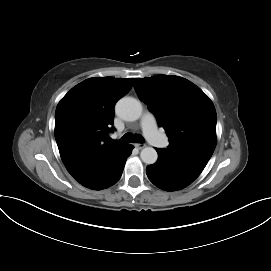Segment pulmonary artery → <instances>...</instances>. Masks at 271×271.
Instances as JSON below:
<instances>
[{
    "instance_id": "pulmonary-artery-1",
    "label": "pulmonary artery",
    "mask_w": 271,
    "mask_h": 271,
    "mask_svg": "<svg viewBox=\"0 0 271 271\" xmlns=\"http://www.w3.org/2000/svg\"><path fill=\"white\" fill-rule=\"evenodd\" d=\"M141 127L146 138L156 146H164L165 139L158 132L156 119L153 114L145 113L141 119Z\"/></svg>"
}]
</instances>
